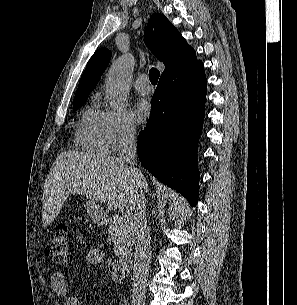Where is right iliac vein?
Segmentation results:
<instances>
[{"label":"right iliac vein","instance_id":"obj_1","mask_svg":"<svg viewBox=\"0 0 297 305\" xmlns=\"http://www.w3.org/2000/svg\"><path fill=\"white\" fill-rule=\"evenodd\" d=\"M134 305H144V304H142V303H137V304H134Z\"/></svg>","mask_w":297,"mask_h":305}]
</instances>
